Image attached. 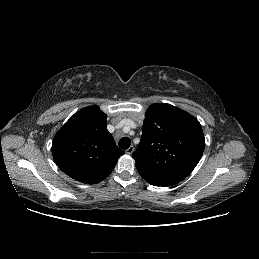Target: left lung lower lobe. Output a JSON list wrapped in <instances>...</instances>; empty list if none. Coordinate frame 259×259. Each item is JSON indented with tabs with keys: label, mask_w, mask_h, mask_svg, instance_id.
I'll list each match as a JSON object with an SVG mask.
<instances>
[{
	"label": "left lung lower lobe",
	"mask_w": 259,
	"mask_h": 259,
	"mask_svg": "<svg viewBox=\"0 0 259 259\" xmlns=\"http://www.w3.org/2000/svg\"><path fill=\"white\" fill-rule=\"evenodd\" d=\"M141 177L146 180L149 184L154 186H172L177 184L179 181L158 175L147 168L136 166Z\"/></svg>",
	"instance_id": "1"
}]
</instances>
